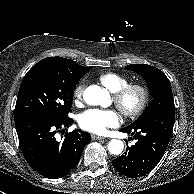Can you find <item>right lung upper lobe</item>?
Returning a JSON list of instances; mask_svg holds the SVG:
<instances>
[{
  "mask_svg": "<svg viewBox=\"0 0 194 194\" xmlns=\"http://www.w3.org/2000/svg\"><path fill=\"white\" fill-rule=\"evenodd\" d=\"M63 59L66 61V63H67L72 69L84 71V70H88V69L90 68V67L81 66V65L75 63V62L72 61V60H69V59H66V58H63Z\"/></svg>",
  "mask_w": 194,
  "mask_h": 194,
  "instance_id": "1",
  "label": "right lung upper lobe"
}]
</instances>
